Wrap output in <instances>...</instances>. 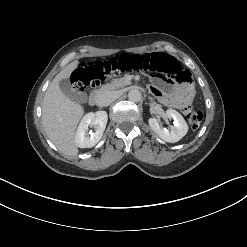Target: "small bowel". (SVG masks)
<instances>
[{"instance_id":"1","label":"small bowel","mask_w":247,"mask_h":247,"mask_svg":"<svg viewBox=\"0 0 247 247\" xmlns=\"http://www.w3.org/2000/svg\"><path fill=\"white\" fill-rule=\"evenodd\" d=\"M151 93L157 97L164 105L187 112L191 99V88L171 84L169 87L162 85V76L153 75Z\"/></svg>"}]
</instances>
